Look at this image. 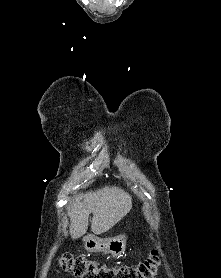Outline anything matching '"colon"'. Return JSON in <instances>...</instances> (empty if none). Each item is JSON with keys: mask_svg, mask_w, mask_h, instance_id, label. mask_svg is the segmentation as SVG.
<instances>
[{"mask_svg": "<svg viewBox=\"0 0 221 278\" xmlns=\"http://www.w3.org/2000/svg\"><path fill=\"white\" fill-rule=\"evenodd\" d=\"M59 263L63 270L79 278H156L159 269L158 253L152 255L136 266L113 267L101 265L83 257L63 254Z\"/></svg>", "mask_w": 221, "mask_h": 278, "instance_id": "5ec220e1", "label": "colon"}]
</instances>
